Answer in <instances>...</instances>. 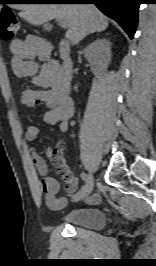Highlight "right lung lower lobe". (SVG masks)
Returning <instances> with one entry per match:
<instances>
[{
  "label": "right lung lower lobe",
  "instance_id": "98d812e1",
  "mask_svg": "<svg viewBox=\"0 0 156 266\" xmlns=\"http://www.w3.org/2000/svg\"><path fill=\"white\" fill-rule=\"evenodd\" d=\"M54 4H95L105 15L117 21L132 39L142 0H46Z\"/></svg>",
  "mask_w": 156,
  "mask_h": 266
}]
</instances>
